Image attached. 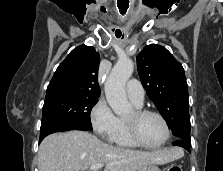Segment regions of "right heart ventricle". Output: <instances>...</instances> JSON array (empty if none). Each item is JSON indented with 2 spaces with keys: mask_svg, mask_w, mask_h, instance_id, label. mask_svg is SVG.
Here are the masks:
<instances>
[{
  "mask_svg": "<svg viewBox=\"0 0 223 171\" xmlns=\"http://www.w3.org/2000/svg\"><path fill=\"white\" fill-rule=\"evenodd\" d=\"M136 107H141L136 105ZM113 144L121 148H136L137 145L129 138L127 131L125 129L124 121L119 119L118 129L110 140Z\"/></svg>",
  "mask_w": 223,
  "mask_h": 171,
  "instance_id": "right-heart-ventricle-1",
  "label": "right heart ventricle"
}]
</instances>
